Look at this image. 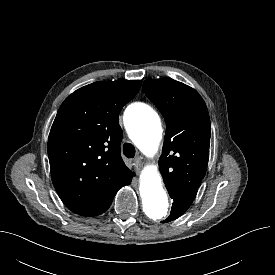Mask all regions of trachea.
Listing matches in <instances>:
<instances>
[{
  "instance_id": "3493384b",
  "label": "trachea",
  "mask_w": 275,
  "mask_h": 275,
  "mask_svg": "<svg viewBox=\"0 0 275 275\" xmlns=\"http://www.w3.org/2000/svg\"><path fill=\"white\" fill-rule=\"evenodd\" d=\"M135 148L130 143H125L123 145V153L127 158H133L135 156Z\"/></svg>"
}]
</instances>
